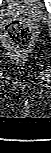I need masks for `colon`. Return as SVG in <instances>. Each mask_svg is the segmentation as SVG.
Here are the masks:
<instances>
[{
	"instance_id": "5ec220e1",
	"label": "colon",
	"mask_w": 51,
	"mask_h": 153,
	"mask_svg": "<svg viewBox=\"0 0 51 153\" xmlns=\"http://www.w3.org/2000/svg\"><path fill=\"white\" fill-rule=\"evenodd\" d=\"M3 36L7 46L15 54L26 52L34 41L31 28L16 20L5 25Z\"/></svg>"
}]
</instances>
